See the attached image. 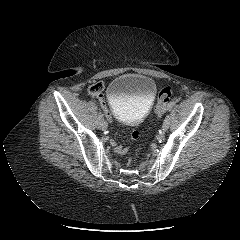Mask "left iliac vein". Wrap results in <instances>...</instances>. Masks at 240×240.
<instances>
[{
	"label": "left iliac vein",
	"mask_w": 240,
	"mask_h": 240,
	"mask_svg": "<svg viewBox=\"0 0 240 240\" xmlns=\"http://www.w3.org/2000/svg\"><path fill=\"white\" fill-rule=\"evenodd\" d=\"M170 116H166L164 122H163V125H162V131L165 132L167 131V129L169 128V125H170Z\"/></svg>",
	"instance_id": "obj_1"
}]
</instances>
